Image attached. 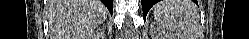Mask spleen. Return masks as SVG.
I'll use <instances>...</instances> for the list:
<instances>
[{"mask_svg": "<svg viewBox=\"0 0 249 39\" xmlns=\"http://www.w3.org/2000/svg\"><path fill=\"white\" fill-rule=\"evenodd\" d=\"M154 17L164 29L179 32L185 39L201 34L198 9L191 1H160L154 6Z\"/></svg>", "mask_w": 249, "mask_h": 39, "instance_id": "obj_1", "label": "spleen"}]
</instances>
